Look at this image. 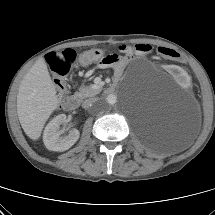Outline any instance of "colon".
<instances>
[{
    "instance_id": "colon-1",
    "label": "colon",
    "mask_w": 215,
    "mask_h": 215,
    "mask_svg": "<svg viewBox=\"0 0 215 215\" xmlns=\"http://www.w3.org/2000/svg\"><path fill=\"white\" fill-rule=\"evenodd\" d=\"M157 54L163 59L171 61L180 60V54L176 50L168 47H158ZM77 57L78 55L73 49H65L61 52H51L46 56V61L54 74V83L59 97H62L67 90L66 75L70 70L71 64L76 61ZM100 58L103 59L104 57H102V52L97 49L87 50L80 55V60L83 63H89Z\"/></svg>"
}]
</instances>
